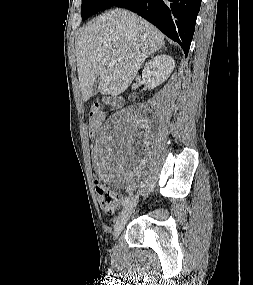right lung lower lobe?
Masks as SVG:
<instances>
[{
  "instance_id": "right-lung-lower-lobe-1",
  "label": "right lung lower lobe",
  "mask_w": 253,
  "mask_h": 285,
  "mask_svg": "<svg viewBox=\"0 0 253 285\" xmlns=\"http://www.w3.org/2000/svg\"><path fill=\"white\" fill-rule=\"evenodd\" d=\"M201 0H119L113 6L142 16L178 42L185 56L193 38Z\"/></svg>"
}]
</instances>
